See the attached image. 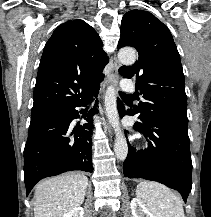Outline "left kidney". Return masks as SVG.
Returning <instances> with one entry per match:
<instances>
[{
	"label": "left kidney",
	"mask_w": 211,
	"mask_h": 217,
	"mask_svg": "<svg viewBox=\"0 0 211 217\" xmlns=\"http://www.w3.org/2000/svg\"><path fill=\"white\" fill-rule=\"evenodd\" d=\"M130 205L133 217H144L145 215L146 217H153L140 199L133 198Z\"/></svg>",
	"instance_id": "obj_1"
}]
</instances>
